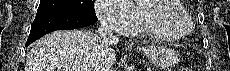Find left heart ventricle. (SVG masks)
<instances>
[{
	"instance_id": "obj_1",
	"label": "left heart ventricle",
	"mask_w": 230,
	"mask_h": 71,
	"mask_svg": "<svg viewBox=\"0 0 230 71\" xmlns=\"http://www.w3.org/2000/svg\"><path fill=\"white\" fill-rule=\"evenodd\" d=\"M165 0H162V2H164ZM156 16L162 20L163 24L166 27L172 28V29H176L178 31H182L183 30V25L181 22H179L178 20H176L175 17L172 16H162L161 14L157 13Z\"/></svg>"
}]
</instances>
